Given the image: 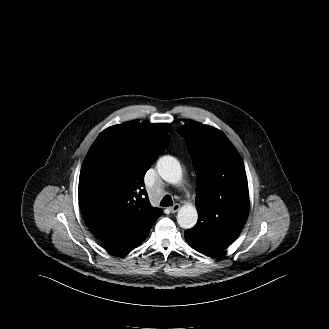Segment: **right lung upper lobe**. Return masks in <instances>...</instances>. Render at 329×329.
I'll return each mask as SVG.
<instances>
[{
    "instance_id": "cb5924a9",
    "label": "right lung upper lobe",
    "mask_w": 329,
    "mask_h": 329,
    "mask_svg": "<svg viewBox=\"0 0 329 329\" xmlns=\"http://www.w3.org/2000/svg\"><path fill=\"white\" fill-rule=\"evenodd\" d=\"M163 123L125 122L105 129L88 151L80 172L84 219L101 241L151 226L162 210L150 205L144 175L170 142Z\"/></svg>"
}]
</instances>
